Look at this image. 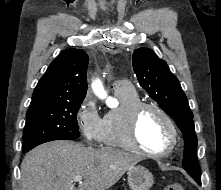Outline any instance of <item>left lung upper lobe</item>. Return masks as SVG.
I'll list each match as a JSON object with an SVG mask.
<instances>
[{
	"label": "left lung upper lobe",
	"mask_w": 221,
	"mask_h": 190,
	"mask_svg": "<svg viewBox=\"0 0 221 190\" xmlns=\"http://www.w3.org/2000/svg\"><path fill=\"white\" fill-rule=\"evenodd\" d=\"M132 62L139 84L174 119L183 133V168L193 178H201L193 114L179 80L171 73L167 63L148 48L136 49Z\"/></svg>",
	"instance_id": "left-lung-upper-lobe-1"
}]
</instances>
